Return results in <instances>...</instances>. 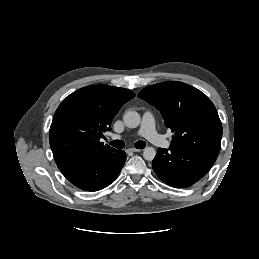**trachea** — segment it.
<instances>
[{
  "mask_svg": "<svg viewBox=\"0 0 259 259\" xmlns=\"http://www.w3.org/2000/svg\"><path fill=\"white\" fill-rule=\"evenodd\" d=\"M109 144L117 149H122L125 146V143L122 140H115V141L110 142ZM134 146L137 149H144L146 146V143L144 141H137L134 144Z\"/></svg>",
  "mask_w": 259,
  "mask_h": 259,
  "instance_id": "3493384b",
  "label": "trachea"
}]
</instances>
